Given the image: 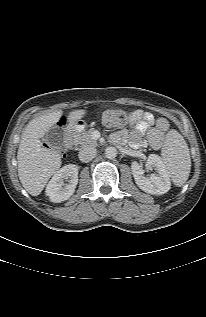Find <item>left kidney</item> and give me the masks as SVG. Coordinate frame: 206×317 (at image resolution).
<instances>
[{"instance_id":"1","label":"left kidney","mask_w":206,"mask_h":317,"mask_svg":"<svg viewBox=\"0 0 206 317\" xmlns=\"http://www.w3.org/2000/svg\"><path fill=\"white\" fill-rule=\"evenodd\" d=\"M147 164L154 167L157 173L144 176V170L136 162H132V174L138 187L146 193L162 195L171 188L170 176L162 159L155 154H151L147 159Z\"/></svg>"}]
</instances>
